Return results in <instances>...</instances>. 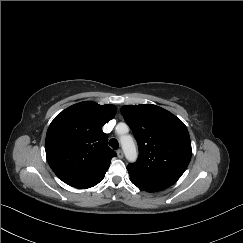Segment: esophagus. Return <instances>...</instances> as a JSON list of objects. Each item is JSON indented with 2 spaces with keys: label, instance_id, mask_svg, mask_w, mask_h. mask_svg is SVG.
<instances>
[{
  "label": "esophagus",
  "instance_id": "1",
  "mask_svg": "<svg viewBox=\"0 0 243 243\" xmlns=\"http://www.w3.org/2000/svg\"><path fill=\"white\" fill-rule=\"evenodd\" d=\"M117 156L119 158H123L124 157V153H123V151L121 149L117 150Z\"/></svg>",
  "mask_w": 243,
  "mask_h": 243
}]
</instances>
